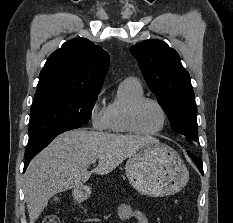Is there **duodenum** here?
Returning <instances> with one entry per match:
<instances>
[{"label":"duodenum","mask_w":233,"mask_h":223,"mask_svg":"<svg viewBox=\"0 0 233 223\" xmlns=\"http://www.w3.org/2000/svg\"><path fill=\"white\" fill-rule=\"evenodd\" d=\"M77 198L79 200H83L85 198V194L83 192H80V193L77 194Z\"/></svg>","instance_id":"duodenum-1"}]
</instances>
